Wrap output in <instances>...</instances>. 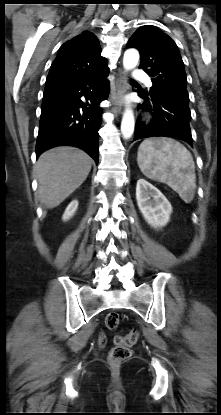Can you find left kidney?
Here are the masks:
<instances>
[{
	"label": "left kidney",
	"mask_w": 221,
	"mask_h": 415,
	"mask_svg": "<svg viewBox=\"0 0 221 415\" xmlns=\"http://www.w3.org/2000/svg\"><path fill=\"white\" fill-rule=\"evenodd\" d=\"M136 200L144 219L155 228L165 226L170 219L172 206L166 197L145 179H139L136 186Z\"/></svg>",
	"instance_id": "1"
}]
</instances>
